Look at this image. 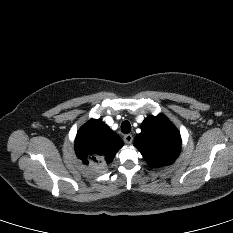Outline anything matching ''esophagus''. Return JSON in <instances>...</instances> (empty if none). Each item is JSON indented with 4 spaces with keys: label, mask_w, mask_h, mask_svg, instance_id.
Here are the masks:
<instances>
[{
    "label": "esophagus",
    "mask_w": 233,
    "mask_h": 233,
    "mask_svg": "<svg viewBox=\"0 0 233 233\" xmlns=\"http://www.w3.org/2000/svg\"><path fill=\"white\" fill-rule=\"evenodd\" d=\"M124 142L126 144H131L133 142V136L131 134L124 135Z\"/></svg>",
    "instance_id": "esophagus-1"
}]
</instances>
